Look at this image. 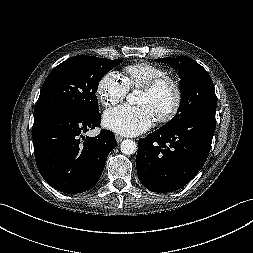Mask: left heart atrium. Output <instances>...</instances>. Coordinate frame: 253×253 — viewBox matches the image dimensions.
I'll use <instances>...</instances> for the list:
<instances>
[{
    "mask_svg": "<svg viewBox=\"0 0 253 253\" xmlns=\"http://www.w3.org/2000/svg\"><path fill=\"white\" fill-rule=\"evenodd\" d=\"M155 121L150 106L121 105L108 110L103 116L106 128L125 136H135L148 130Z\"/></svg>",
    "mask_w": 253,
    "mask_h": 253,
    "instance_id": "obj_1",
    "label": "left heart atrium"
}]
</instances>
